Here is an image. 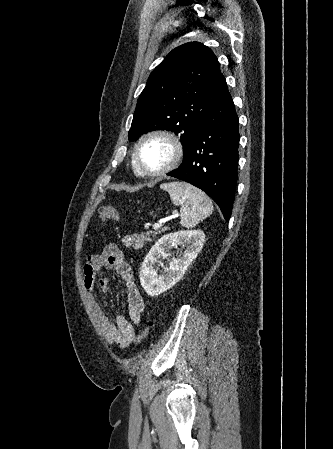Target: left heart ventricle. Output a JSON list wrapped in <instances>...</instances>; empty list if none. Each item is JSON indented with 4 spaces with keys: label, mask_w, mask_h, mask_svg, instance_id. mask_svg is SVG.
Segmentation results:
<instances>
[{
    "label": "left heart ventricle",
    "mask_w": 333,
    "mask_h": 449,
    "mask_svg": "<svg viewBox=\"0 0 333 449\" xmlns=\"http://www.w3.org/2000/svg\"><path fill=\"white\" fill-rule=\"evenodd\" d=\"M170 146L162 139H151L143 144L140 149V160L148 170L162 168L170 159Z\"/></svg>",
    "instance_id": "b2bd125f"
}]
</instances>
